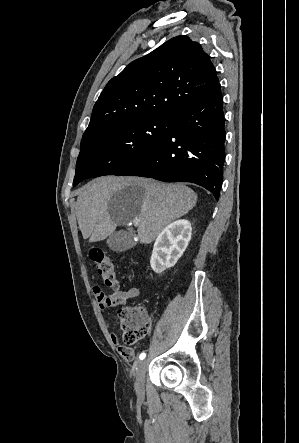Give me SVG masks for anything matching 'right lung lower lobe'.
Listing matches in <instances>:
<instances>
[{
    "label": "right lung lower lobe",
    "mask_w": 299,
    "mask_h": 443,
    "mask_svg": "<svg viewBox=\"0 0 299 443\" xmlns=\"http://www.w3.org/2000/svg\"><path fill=\"white\" fill-rule=\"evenodd\" d=\"M170 133L148 154L114 175L192 182L219 199L225 158L223 98L219 82L168 116Z\"/></svg>",
    "instance_id": "right-lung-lower-lobe-1"
}]
</instances>
